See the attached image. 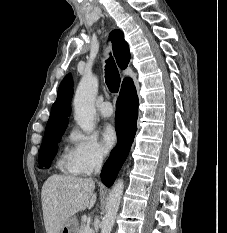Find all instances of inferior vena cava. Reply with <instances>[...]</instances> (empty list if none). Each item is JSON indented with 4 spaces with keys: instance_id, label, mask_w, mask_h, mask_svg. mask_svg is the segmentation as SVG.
Instances as JSON below:
<instances>
[{
    "instance_id": "inferior-vena-cava-1",
    "label": "inferior vena cava",
    "mask_w": 227,
    "mask_h": 233,
    "mask_svg": "<svg viewBox=\"0 0 227 233\" xmlns=\"http://www.w3.org/2000/svg\"><path fill=\"white\" fill-rule=\"evenodd\" d=\"M103 156L102 154H98L95 160V174L99 173L102 167Z\"/></svg>"
}]
</instances>
